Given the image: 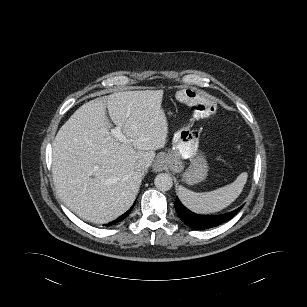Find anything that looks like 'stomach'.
Instances as JSON below:
<instances>
[{
    "mask_svg": "<svg viewBox=\"0 0 307 307\" xmlns=\"http://www.w3.org/2000/svg\"><path fill=\"white\" fill-rule=\"evenodd\" d=\"M186 158H191V161L182 174L183 181L193 185L205 180L209 167L205 155L198 152V138L188 128H182L174 137L172 149L163 155L164 166L180 173L184 170L183 159Z\"/></svg>",
    "mask_w": 307,
    "mask_h": 307,
    "instance_id": "stomach-1",
    "label": "stomach"
}]
</instances>
